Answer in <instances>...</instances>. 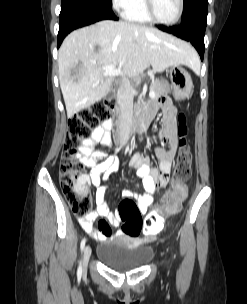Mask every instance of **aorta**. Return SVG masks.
Listing matches in <instances>:
<instances>
[{"label": "aorta", "instance_id": "aorta-1", "mask_svg": "<svg viewBox=\"0 0 247 304\" xmlns=\"http://www.w3.org/2000/svg\"><path fill=\"white\" fill-rule=\"evenodd\" d=\"M144 128H145V126H144V121L142 120V122H141V130H140V133L143 132Z\"/></svg>", "mask_w": 247, "mask_h": 304}]
</instances>
